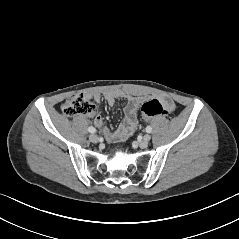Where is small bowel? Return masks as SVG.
Listing matches in <instances>:
<instances>
[{"label": "small bowel", "mask_w": 239, "mask_h": 239, "mask_svg": "<svg viewBox=\"0 0 239 239\" xmlns=\"http://www.w3.org/2000/svg\"><path fill=\"white\" fill-rule=\"evenodd\" d=\"M88 97L94 99L96 102L104 99L109 106H113L117 99L125 101L124 121L115 130H111L109 128L103 129V134L108 142L124 141L136 131L138 125L136 112L140 103L144 100L143 98L125 94L120 91H110L104 93L103 95L95 93L93 95H89ZM162 102L167 111H173L175 109V103L172 99L164 97L162 98ZM94 125L98 128L102 127L103 119L100 115H95Z\"/></svg>", "instance_id": "c3829d8e"}]
</instances>
